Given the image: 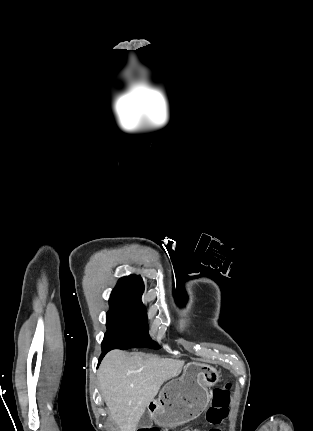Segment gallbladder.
Here are the masks:
<instances>
[{
    "label": "gallbladder",
    "mask_w": 313,
    "mask_h": 431,
    "mask_svg": "<svg viewBox=\"0 0 313 431\" xmlns=\"http://www.w3.org/2000/svg\"><path fill=\"white\" fill-rule=\"evenodd\" d=\"M141 422L143 425L148 426L152 423V418L149 415V413H144L142 418H141Z\"/></svg>",
    "instance_id": "bac80fb5"
}]
</instances>
